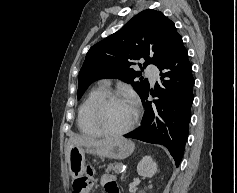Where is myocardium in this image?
I'll return each mask as SVG.
<instances>
[{
	"label": "myocardium",
	"mask_w": 237,
	"mask_h": 193,
	"mask_svg": "<svg viewBox=\"0 0 237 193\" xmlns=\"http://www.w3.org/2000/svg\"><path fill=\"white\" fill-rule=\"evenodd\" d=\"M110 100H126L134 106V117L131 123L122 130L113 131L105 128L100 122V111L104 104ZM141 114L140 105L137 100L116 91H106L101 94L93 103L90 110V120L93 126L104 136L119 137L129 133L138 123Z\"/></svg>",
	"instance_id": "myocardium-1"
}]
</instances>
